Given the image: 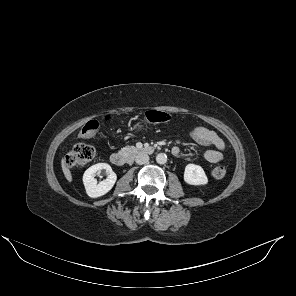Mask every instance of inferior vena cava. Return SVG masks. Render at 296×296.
<instances>
[{
	"mask_svg": "<svg viewBox=\"0 0 296 296\" xmlns=\"http://www.w3.org/2000/svg\"><path fill=\"white\" fill-rule=\"evenodd\" d=\"M135 161L137 164L142 165L149 162V156L144 153H140L135 157Z\"/></svg>",
	"mask_w": 296,
	"mask_h": 296,
	"instance_id": "602c4592",
	"label": "inferior vena cava"
}]
</instances>
